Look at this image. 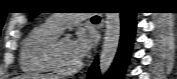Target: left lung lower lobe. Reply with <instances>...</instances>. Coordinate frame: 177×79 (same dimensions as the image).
I'll return each instance as SVG.
<instances>
[{"mask_svg": "<svg viewBox=\"0 0 177 79\" xmlns=\"http://www.w3.org/2000/svg\"><path fill=\"white\" fill-rule=\"evenodd\" d=\"M135 27L136 13L122 12L120 46L112 69L106 76L101 77L98 71V62L95 61L89 71L88 79H122L132 49Z\"/></svg>", "mask_w": 177, "mask_h": 79, "instance_id": "1", "label": "left lung lower lobe"}]
</instances>
